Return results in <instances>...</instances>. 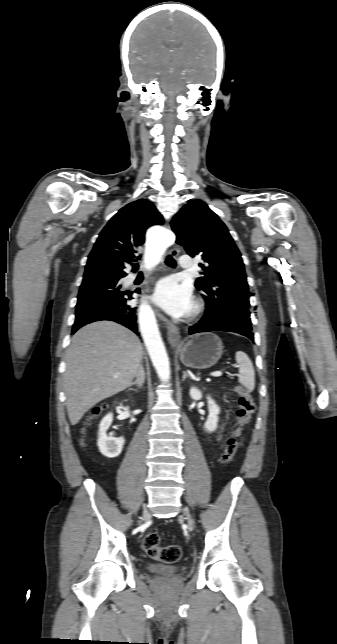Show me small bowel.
Here are the masks:
<instances>
[{
	"label": "small bowel",
	"mask_w": 337,
	"mask_h": 644,
	"mask_svg": "<svg viewBox=\"0 0 337 644\" xmlns=\"http://www.w3.org/2000/svg\"><path fill=\"white\" fill-rule=\"evenodd\" d=\"M223 429H224V424H222V425L220 426L219 435H218V440H219V441H221V440H222V432H223Z\"/></svg>",
	"instance_id": "small-bowel-1"
}]
</instances>
